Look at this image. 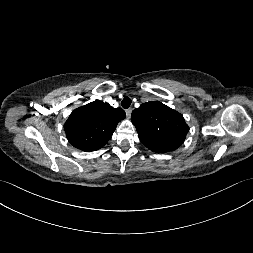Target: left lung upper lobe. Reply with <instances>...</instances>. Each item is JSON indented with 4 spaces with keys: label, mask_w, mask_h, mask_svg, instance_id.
<instances>
[{
    "label": "left lung upper lobe",
    "mask_w": 253,
    "mask_h": 253,
    "mask_svg": "<svg viewBox=\"0 0 253 253\" xmlns=\"http://www.w3.org/2000/svg\"><path fill=\"white\" fill-rule=\"evenodd\" d=\"M141 142L157 153L180 147L189 131L183 116L159 101L140 105L131 115Z\"/></svg>",
    "instance_id": "obj_1"
}]
</instances>
